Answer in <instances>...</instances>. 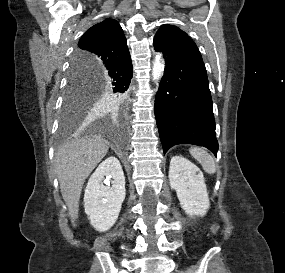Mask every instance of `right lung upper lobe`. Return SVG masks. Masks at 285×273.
Masks as SVG:
<instances>
[{
	"mask_svg": "<svg viewBox=\"0 0 285 273\" xmlns=\"http://www.w3.org/2000/svg\"><path fill=\"white\" fill-rule=\"evenodd\" d=\"M130 55L124 32L114 19H105L89 28L80 38L72 67L78 74L95 76L97 68Z\"/></svg>",
	"mask_w": 285,
	"mask_h": 273,
	"instance_id": "obj_1",
	"label": "right lung upper lobe"
}]
</instances>
